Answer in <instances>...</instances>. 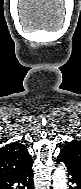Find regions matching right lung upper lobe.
I'll return each mask as SVG.
<instances>
[{"label": "right lung upper lobe", "instance_id": "cb5924a9", "mask_svg": "<svg viewBox=\"0 0 81 189\" xmlns=\"http://www.w3.org/2000/svg\"><path fill=\"white\" fill-rule=\"evenodd\" d=\"M31 161L26 146L19 142L7 144L0 149V178L16 172Z\"/></svg>", "mask_w": 81, "mask_h": 189}]
</instances>
